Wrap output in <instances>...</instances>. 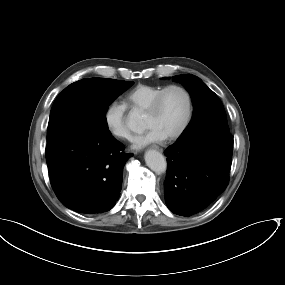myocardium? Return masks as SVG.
<instances>
[{"instance_id": "myocardium-1", "label": "myocardium", "mask_w": 285, "mask_h": 285, "mask_svg": "<svg viewBox=\"0 0 285 285\" xmlns=\"http://www.w3.org/2000/svg\"><path fill=\"white\" fill-rule=\"evenodd\" d=\"M171 89H178L184 93L186 97V102H187V109H186V113H185V116H184V119L181 125L178 127V129L174 133L165 136L164 139L166 140L176 139L184 133V131L186 130L190 122L192 111H193V101H192V97L188 89L180 84H170V85L163 87L156 94V96L153 98V100L150 102L149 106L147 107L146 112L155 113L160 107L163 96L165 95L167 91Z\"/></svg>"}]
</instances>
